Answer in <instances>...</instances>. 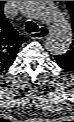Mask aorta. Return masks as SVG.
<instances>
[{"instance_id": "obj_1", "label": "aorta", "mask_w": 74, "mask_h": 122, "mask_svg": "<svg viewBox=\"0 0 74 122\" xmlns=\"http://www.w3.org/2000/svg\"><path fill=\"white\" fill-rule=\"evenodd\" d=\"M22 13L49 28L47 49L54 55L65 54L72 43V28L53 1H20Z\"/></svg>"}]
</instances>
